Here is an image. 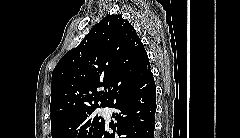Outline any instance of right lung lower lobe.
<instances>
[{"label":"right lung lower lobe","instance_id":"1","mask_svg":"<svg viewBox=\"0 0 240 138\" xmlns=\"http://www.w3.org/2000/svg\"><path fill=\"white\" fill-rule=\"evenodd\" d=\"M155 96L153 74L137 86L117 95L108 105L120 110L113 114L117 123L115 126L104 124L94 138H153ZM110 128L114 132H110Z\"/></svg>","mask_w":240,"mask_h":138}]
</instances>
